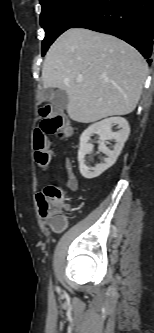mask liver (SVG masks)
Instances as JSON below:
<instances>
[{
    "label": "liver",
    "mask_w": 154,
    "mask_h": 333,
    "mask_svg": "<svg viewBox=\"0 0 154 333\" xmlns=\"http://www.w3.org/2000/svg\"><path fill=\"white\" fill-rule=\"evenodd\" d=\"M147 71L143 56L125 41L71 28L49 48L42 82L43 88L66 91L67 113L72 120L92 123L131 113L140 99Z\"/></svg>",
    "instance_id": "liver-1"
}]
</instances>
